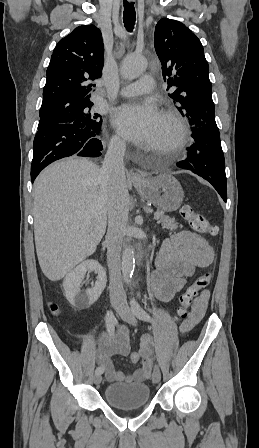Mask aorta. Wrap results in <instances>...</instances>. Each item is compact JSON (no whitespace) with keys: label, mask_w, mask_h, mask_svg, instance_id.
Returning <instances> with one entry per match:
<instances>
[{"label":"aorta","mask_w":259,"mask_h":448,"mask_svg":"<svg viewBox=\"0 0 259 448\" xmlns=\"http://www.w3.org/2000/svg\"><path fill=\"white\" fill-rule=\"evenodd\" d=\"M147 61L140 55H127L121 65V73L126 79H134L140 76L146 69ZM135 267V251L127 246L122 253V275L125 283L132 280Z\"/></svg>","instance_id":"762f6f07"}]
</instances>
